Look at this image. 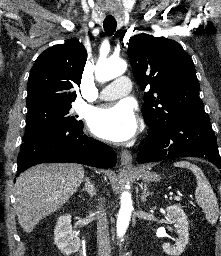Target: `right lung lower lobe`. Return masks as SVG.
<instances>
[{"label": "right lung lower lobe", "mask_w": 221, "mask_h": 256, "mask_svg": "<svg viewBox=\"0 0 221 256\" xmlns=\"http://www.w3.org/2000/svg\"><path fill=\"white\" fill-rule=\"evenodd\" d=\"M116 161L111 147L83 133V124L65 126L43 131L22 142L17 175L40 163L72 162L112 168Z\"/></svg>", "instance_id": "right-lung-lower-lobe-1"}]
</instances>
